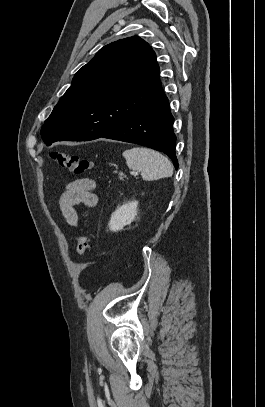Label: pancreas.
I'll use <instances>...</instances> for the list:
<instances>
[{"label":"pancreas","instance_id":"1","mask_svg":"<svg viewBox=\"0 0 265 407\" xmlns=\"http://www.w3.org/2000/svg\"><path fill=\"white\" fill-rule=\"evenodd\" d=\"M125 177V175L123 173H119V179L123 180V178Z\"/></svg>","mask_w":265,"mask_h":407}]
</instances>
